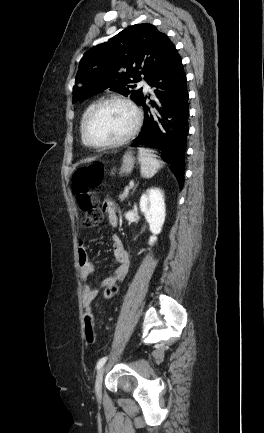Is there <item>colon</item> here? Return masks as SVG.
I'll list each match as a JSON object with an SVG mask.
<instances>
[{
  "mask_svg": "<svg viewBox=\"0 0 264 433\" xmlns=\"http://www.w3.org/2000/svg\"><path fill=\"white\" fill-rule=\"evenodd\" d=\"M104 178V166L101 163H92L80 167L72 177V191L79 207L84 212L82 224L85 227H94L103 220V213L98 208V201L92 190L101 185ZM119 291L117 283L106 286L103 299H113Z\"/></svg>",
  "mask_w": 264,
  "mask_h": 433,
  "instance_id": "1",
  "label": "colon"
}]
</instances>
